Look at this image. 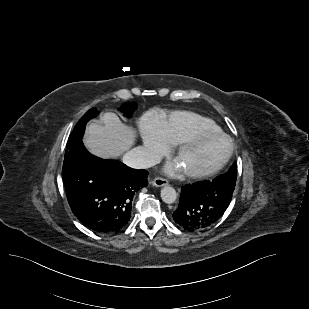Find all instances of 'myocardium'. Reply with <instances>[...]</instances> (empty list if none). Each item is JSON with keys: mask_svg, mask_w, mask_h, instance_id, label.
Wrapping results in <instances>:
<instances>
[{"mask_svg": "<svg viewBox=\"0 0 309 309\" xmlns=\"http://www.w3.org/2000/svg\"><path fill=\"white\" fill-rule=\"evenodd\" d=\"M205 138H222L225 139L228 143V149L223 156V158L213 167L207 170L201 171H193V170H186L184 171V175L189 179H205L209 178L215 174H217L220 170L224 168V166L229 162L230 158L232 157L234 151V144L232 139L223 132H209V131H198L178 143L174 150V155L177 157L182 151L186 150L187 148L193 146L197 142Z\"/></svg>", "mask_w": 309, "mask_h": 309, "instance_id": "1", "label": "myocardium"}]
</instances>
